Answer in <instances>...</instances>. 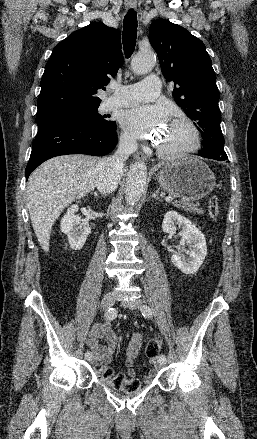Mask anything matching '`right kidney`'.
Returning <instances> with one entry per match:
<instances>
[{
	"label": "right kidney",
	"instance_id": "1",
	"mask_svg": "<svg viewBox=\"0 0 257 439\" xmlns=\"http://www.w3.org/2000/svg\"><path fill=\"white\" fill-rule=\"evenodd\" d=\"M77 211V205L68 208L60 224L62 233L67 235L69 245L74 250H80L84 246L87 236L91 232L89 226L82 222L81 217L75 215Z\"/></svg>",
	"mask_w": 257,
	"mask_h": 439
}]
</instances>
